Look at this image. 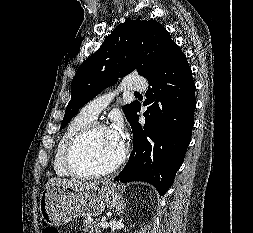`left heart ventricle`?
<instances>
[{
  "instance_id": "obj_1",
  "label": "left heart ventricle",
  "mask_w": 253,
  "mask_h": 233,
  "mask_svg": "<svg viewBox=\"0 0 253 233\" xmlns=\"http://www.w3.org/2000/svg\"><path fill=\"white\" fill-rule=\"evenodd\" d=\"M121 149L122 142L109 129H100L79 149L76 164L84 171L104 169L116 161Z\"/></svg>"
}]
</instances>
